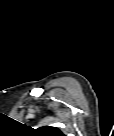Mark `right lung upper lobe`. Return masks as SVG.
Returning <instances> with one entry per match:
<instances>
[{"instance_id":"right-lung-upper-lobe-1","label":"right lung upper lobe","mask_w":114,"mask_h":136,"mask_svg":"<svg viewBox=\"0 0 114 136\" xmlns=\"http://www.w3.org/2000/svg\"><path fill=\"white\" fill-rule=\"evenodd\" d=\"M38 133L44 136H61L62 132L56 127L45 126L36 130Z\"/></svg>"}]
</instances>
